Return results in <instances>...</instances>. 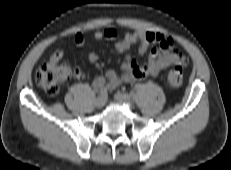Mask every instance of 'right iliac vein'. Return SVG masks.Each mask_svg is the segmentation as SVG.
<instances>
[{
    "label": "right iliac vein",
    "mask_w": 231,
    "mask_h": 170,
    "mask_svg": "<svg viewBox=\"0 0 231 170\" xmlns=\"http://www.w3.org/2000/svg\"><path fill=\"white\" fill-rule=\"evenodd\" d=\"M105 105V100H104V98H102V97H98V98H96V100H95V106H96V108H102L103 106Z\"/></svg>",
    "instance_id": "obj_1"
}]
</instances>
